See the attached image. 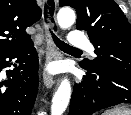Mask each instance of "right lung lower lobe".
<instances>
[{"label":"right lung lower lobe","mask_w":131,"mask_h":115,"mask_svg":"<svg viewBox=\"0 0 131 115\" xmlns=\"http://www.w3.org/2000/svg\"><path fill=\"white\" fill-rule=\"evenodd\" d=\"M12 59L18 66L7 70V81H0V115H30L38 89V55L33 43L0 53V72L10 67Z\"/></svg>","instance_id":"right-lung-lower-lobe-1"}]
</instances>
